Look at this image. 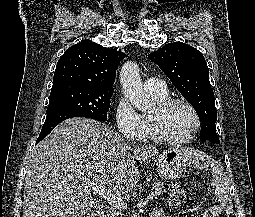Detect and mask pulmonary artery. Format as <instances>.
Returning <instances> with one entry per match:
<instances>
[{
	"mask_svg": "<svg viewBox=\"0 0 255 217\" xmlns=\"http://www.w3.org/2000/svg\"><path fill=\"white\" fill-rule=\"evenodd\" d=\"M144 87L149 93L163 94L167 92L166 83L158 78H148L144 83Z\"/></svg>",
	"mask_w": 255,
	"mask_h": 217,
	"instance_id": "pulmonary-artery-1",
	"label": "pulmonary artery"
}]
</instances>
